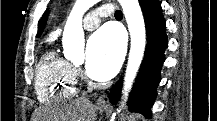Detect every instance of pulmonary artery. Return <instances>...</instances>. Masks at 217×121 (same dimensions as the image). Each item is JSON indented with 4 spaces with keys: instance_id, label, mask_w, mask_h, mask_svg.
<instances>
[{
    "instance_id": "pulmonary-artery-1",
    "label": "pulmonary artery",
    "mask_w": 217,
    "mask_h": 121,
    "mask_svg": "<svg viewBox=\"0 0 217 121\" xmlns=\"http://www.w3.org/2000/svg\"><path fill=\"white\" fill-rule=\"evenodd\" d=\"M112 14V9L110 5H107L105 7H99L91 12H89L84 20H83V26L86 30H94L98 27L100 21L103 18L109 17Z\"/></svg>"
}]
</instances>
